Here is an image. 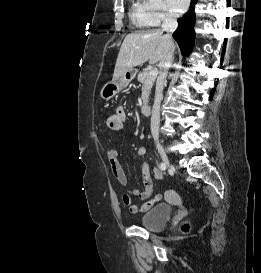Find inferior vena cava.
<instances>
[{
    "instance_id": "602c4592",
    "label": "inferior vena cava",
    "mask_w": 261,
    "mask_h": 273,
    "mask_svg": "<svg viewBox=\"0 0 261 273\" xmlns=\"http://www.w3.org/2000/svg\"><path fill=\"white\" fill-rule=\"evenodd\" d=\"M178 26L177 19L174 14L166 13L163 23L162 29L167 34V51L163 60L159 63V76L156 82V91H155V99L154 105L152 109L151 116V134L154 138H158L159 136V124H160V105L163 98V88L166 83V77L168 74V70L173 65V57H174V43L172 41V33L176 30Z\"/></svg>"
}]
</instances>
